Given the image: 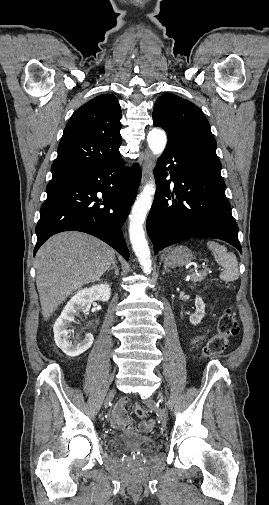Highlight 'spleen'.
Wrapping results in <instances>:
<instances>
[{"instance_id": "obj_1", "label": "spleen", "mask_w": 269, "mask_h": 505, "mask_svg": "<svg viewBox=\"0 0 269 505\" xmlns=\"http://www.w3.org/2000/svg\"><path fill=\"white\" fill-rule=\"evenodd\" d=\"M207 247L212 251L215 261L223 267V271L219 275L220 279L225 282L237 280L239 271L235 254L228 252L224 245H220L215 241H208Z\"/></svg>"}]
</instances>
